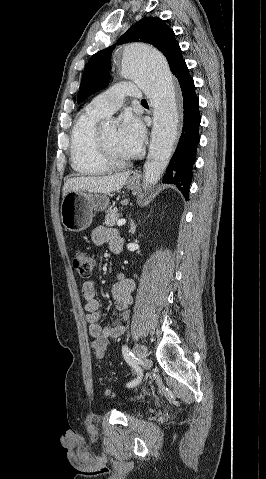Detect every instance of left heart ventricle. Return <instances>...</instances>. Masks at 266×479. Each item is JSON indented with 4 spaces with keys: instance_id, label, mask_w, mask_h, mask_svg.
<instances>
[{
    "instance_id": "1",
    "label": "left heart ventricle",
    "mask_w": 266,
    "mask_h": 479,
    "mask_svg": "<svg viewBox=\"0 0 266 479\" xmlns=\"http://www.w3.org/2000/svg\"><path fill=\"white\" fill-rule=\"evenodd\" d=\"M109 150L117 159H127L128 156L123 152L119 140L118 130L116 128H107L101 131Z\"/></svg>"
}]
</instances>
